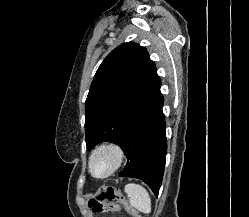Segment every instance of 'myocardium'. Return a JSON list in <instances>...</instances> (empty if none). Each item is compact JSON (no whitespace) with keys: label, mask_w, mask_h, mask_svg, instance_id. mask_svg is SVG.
<instances>
[{"label":"myocardium","mask_w":249,"mask_h":217,"mask_svg":"<svg viewBox=\"0 0 249 217\" xmlns=\"http://www.w3.org/2000/svg\"><path fill=\"white\" fill-rule=\"evenodd\" d=\"M100 155H108L111 162L106 170L98 173L94 170V162ZM125 160L124 148L115 141H106L97 145L88 158V171L94 178L105 179L117 172Z\"/></svg>","instance_id":"1"}]
</instances>
